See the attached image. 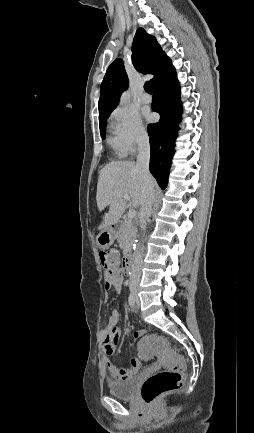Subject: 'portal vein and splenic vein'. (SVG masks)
<instances>
[{
    "label": "portal vein and splenic vein",
    "instance_id": "portal-vein-and-splenic-vein-1",
    "mask_svg": "<svg viewBox=\"0 0 254 433\" xmlns=\"http://www.w3.org/2000/svg\"><path fill=\"white\" fill-rule=\"evenodd\" d=\"M123 198L126 200V201H130V196L129 195H127V194H124L123 195ZM136 216V210H134V209H130L129 211H128V218H134Z\"/></svg>",
    "mask_w": 254,
    "mask_h": 433
}]
</instances>
